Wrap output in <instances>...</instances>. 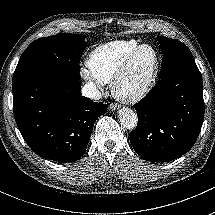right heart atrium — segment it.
Segmentation results:
<instances>
[{
    "instance_id": "obj_1",
    "label": "right heart atrium",
    "mask_w": 215,
    "mask_h": 215,
    "mask_svg": "<svg viewBox=\"0 0 215 215\" xmlns=\"http://www.w3.org/2000/svg\"><path fill=\"white\" fill-rule=\"evenodd\" d=\"M83 78L85 81L89 82L96 91L100 90L101 89V85L98 84V83H95L93 81V78H91L88 74H83Z\"/></svg>"
}]
</instances>
